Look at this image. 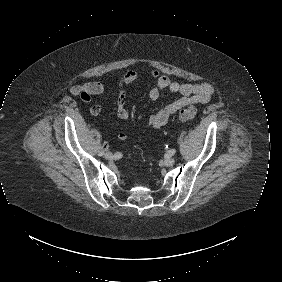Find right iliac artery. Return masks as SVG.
Instances as JSON below:
<instances>
[{
	"mask_svg": "<svg viewBox=\"0 0 282 282\" xmlns=\"http://www.w3.org/2000/svg\"><path fill=\"white\" fill-rule=\"evenodd\" d=\"M104 154V151H100L99 155L102 156Z\"/></svg>",
	"mask_w": 282,
	"mask_h": 282,
	"instance_id": "obj_1",
	"label": "right iliac artery"
}]
</instances>
